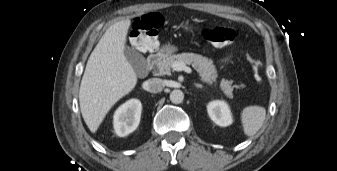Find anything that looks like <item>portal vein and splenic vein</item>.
Masks as SVG:
<instances>
[{"label": "portal vein and splenic vein", "mask_w": 337, "mask_h": 171, "mask_svg": "<svg viewBox=\"0 0 337 171\" xmlns=\"http://www.w3.org/2000/svg\"><path fill=\"white\" fill-rule=\"evenodd\" d=\"M171 67L175 71H185L186 73L192 72V69L186 66L183 62H174Z\"/></svg>", "instance_id": "18ae733b"}]
</instances>
